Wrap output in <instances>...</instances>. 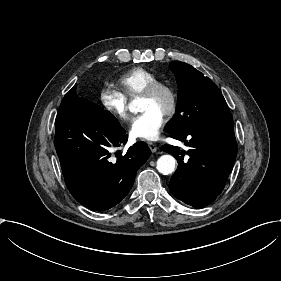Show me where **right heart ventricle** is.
<instances>
[{
  "label": "right heart ventricle",
  "mask_w": 281,
  "mask_h": 281,
  "mask_svg": "<svg viewBox=\"0 0 281 281\" xmlns=\"http://www.w3.org/2000/svg\"><path fill=\"white\" fill-rule=\"evenodd\" d=\"M158 81L159 79L154 73L145 67L137 66L120 76L117 85L125 98L133 99Z\"/></svg>",
  "instance_id": "1"
}]
</instances>
